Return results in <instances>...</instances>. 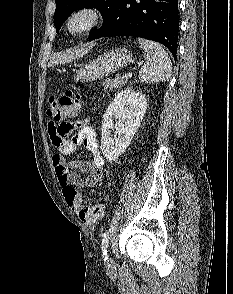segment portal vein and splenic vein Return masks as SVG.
Masks as SVG:
<instances>
[{
    "label": "portal vein and splenic vein",
    "mask_w": 233,
    "mask_h": 294,
    "mask_svg": "<svg viewBox=\"0 0 233 294\" xmlns=\"http://www.w3.org/2000/svg\"><path fill=\"white\" fill-rule=\"evenodd\" d=\"M132 77V73H127V74H125V75H122L120 78L123 80V79H129V78H131Z\"/></svg>",
    "instance_id": "obj_1"
}]
</instances>
